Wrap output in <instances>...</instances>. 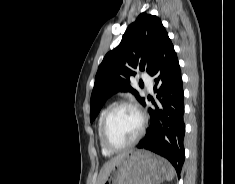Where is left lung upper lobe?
I'll use <instances>...</instances> for the list:
<instances>
[{
  "instance_id": "1",
  "label": "left lung upper lobe",
  "mask_w": 235,
  "mask_h": 184,
  "mask_svg": "<svg viewBox=\"0 0 235 184\" xmlns=\"http://www.w3.org/2000/svg\"><path fill=\"white\" fill-rule=\"evenodd\" d=\"M168 34L161 20L142 13L131 23L120 44L109 51L98 67L90 100V121L93 122L105 101L118 91H129L143 104L144 98L131 87L130 77L136 71L151 73L158 50Z\"/></svg>"
}]
</instances>
